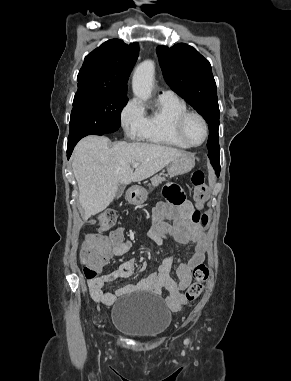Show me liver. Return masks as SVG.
I'll use <instances>...</instances> for the list:
<instances>
[{
    "label": "liver",
    "mask_w": 291,
    "mask_h": 381,
    "mask_svg": "<svg viewBox=\"0 0 291 381\" xmlns=\"http://www.w3.org/2000/svg\"><path fill=\"white\" fill-rule=\"evenodd\" d=\"M186 154L176 148L152 143L120 141L109 147L107 137L91 135L83 138L75 147L72 168L84 220L110 205L119 184L147 179ZM134 163L139 166L133 172Z\"/></svg>",
    "instance_id": "obj_1"
}]
</instances>
